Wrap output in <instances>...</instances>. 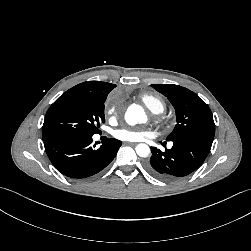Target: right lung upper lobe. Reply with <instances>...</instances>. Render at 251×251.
Returning a JSON list of instances; mask_svg holds the SVG:
<instances>
[{"instance_id": "obj_1", "label": "right lung upper lobe", "mask_w": 251, "mask_h": 251, "mask_svg": "<svg viewBox=\"0 0 251 251\" xmlns=\"http://www.w3.org/2000/svg\"><path fill=\"white\" fill-rule=\"evenodd\" d=\"M116 87L115 84L101 82V81H87L74 86L69 89L71 91L91 93L98 96H106L112 89Z\"/></svg>"}]
</instances>
